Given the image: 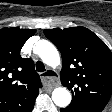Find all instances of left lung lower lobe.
<instances>
[{
	"mask_svg": "<svg viewBox=\"0 0 112 112\" xmlns=\"http://www.w3.org/2000/svg\"><path fill=\"white\" fill-rule=\"evenodd\" d=\"M61 112H101V110L86 109V108H78V107L68 106L66 108H62Z\"/></svg>",
	"mask_w": 112,
	"mask_h": 112,
	"instance_id": "obj_1",
	"label": "left lung lower lobe"
}]
</instances>
